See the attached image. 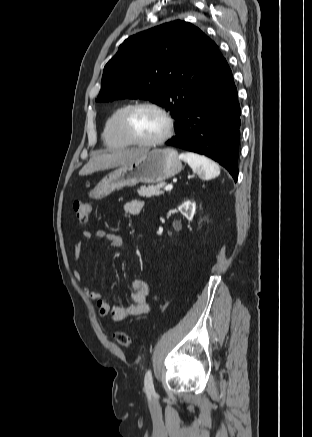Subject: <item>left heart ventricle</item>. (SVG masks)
Segmentation results:
<instances>
[{
    "mask_svg": "<svg viewBox=\"0 0 312 437\" xmlns=\"http://www.w3.org/2000/svg\"><path fill=\"white\" fill-rule=\"evenodd\" d=\"M130 127L134 135L141 140H153L160 137L166 128L163 117L149 108L137 110L131 118Z\"/></svg>",
    "mask_w": 312,
    "mask_h": 437,
    "instance_id": "1",
    "label": "left heart ventricle"
}]
</instances>
